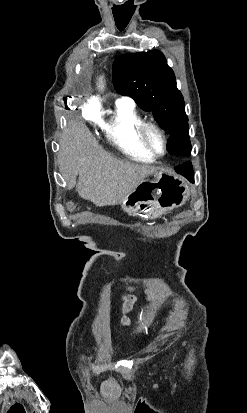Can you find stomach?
<instances>
[{
	"label": "stomach",
	"instance_id": "0dacf381",
	"mask_svg": "<svg viewBox=\"0 0 247 413\" xmlns=\"http://www.w3.org/2000/svg\"><path fill=\"white\" fill-rule=\"evenodd\" d=\"M191 194L186 178L172 170H157L141 180L120 202L124 213L142 219H157L165 211L178 209Z\"/></svg>",
	"mask_w": 247,
	"mask_h": 413
}]
</instances>
